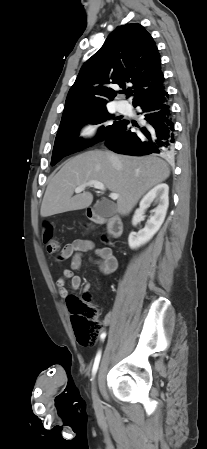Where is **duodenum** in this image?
I'll return each instance as SVG.
<instances>
[{
    "label": "duodenum",
    "mask_w": 207,
    "mask_h": 449,
    "mask_svg": "<svg viewBox=\"0 0 207 449\" xmlns=\"http://www.w3.org/2000/svg\"><path fill=\"white\" fill-rule=\"evenodd\" d=\"M89 218L95 224L106 222L109 233L115 238L120 237L123 232V223L118 216L104 219L102 216L91 210L89 211Z\"/></svg>",
    "instance_id": "410a0bca"
}]
</instances>
